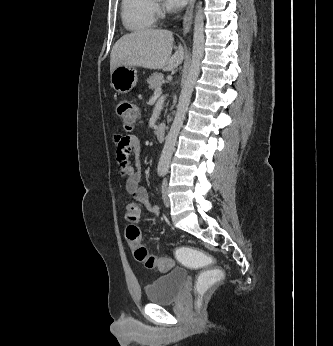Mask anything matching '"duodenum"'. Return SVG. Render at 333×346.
Returning <instances> with one entry per match:
<instances>
[{
    "label": "duodenum",
    "instance_id": "410a0bca",
    "mask_svg": "<svg viewBox=\"0 0 333 346\" xmlns=\"http://www.w3.org/2000/svg\"><path fill=\"white\" fill-rule=\"evenodd\" d=\"M155 134L159 141H163L166 135V125L164 123L158 124L155 129Z\"/></svg>",
    "mask_w": 333,
    "mask_h": 346
}]
</instances>
